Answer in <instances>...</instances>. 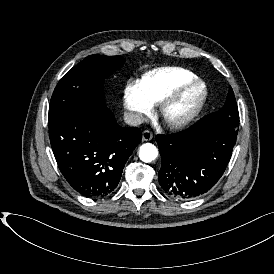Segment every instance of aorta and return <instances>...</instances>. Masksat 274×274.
Returning <instances> with one entry per match:
<instances>
[{"label": "aorta", "instance_id": "762f6f07", "mask_svg": "<svg viewBox=\"0 0 274 274\" xmlns=\"http://www.w3.org/2000/svg\"><path fill=\"white\" fill-rule=\"evenodd\" d=\"M158 156V150L156 146L151 143H145L140 146L139 158L143 162L150 163L155 160Z\"/></svg>", "mask_w": 274, "mask_h": 274}]
</instances>
